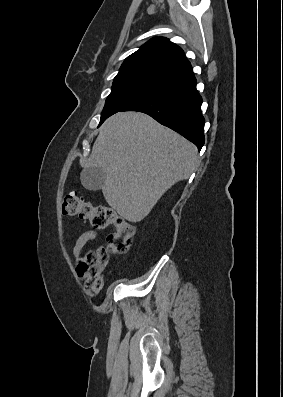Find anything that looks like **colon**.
<instances>
[{"instance_id": "obj_1", "label": "colon", "mask_w": 283, "mask_h": 397, "mask_svg": "<svg viewBox=\"0 0 283 397\" xmlns=\"http://www.w3.org/2000/svg\"><path fill=\"white\" fill-rule=\"evenodd\" d=\"M62 212L67 216H77L89 221L96 228L113 226L114 231L107 236L105 246L87 252L78 264V273L84 279L85 289L91 295L103 288L102 270L112 255L127 252L133 242V225L118 215L109 206H94L75 194H67L62 202Z\"/></svg>"}]
</instances>
